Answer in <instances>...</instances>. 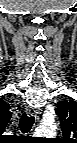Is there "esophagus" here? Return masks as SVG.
I'll list each match as a JSON object with an SVG mask.
<instances>
[{
  "label": "esophagus",
  "instance_id": "34e87169",
  "mask_svg": "<svg viewBox=\"0 0 77 143\" xmlns=\"http://www.w3.org/2000/svg\"><path fill=\"white\" fill-rule=\"evenodd\" d=\"M26 112L29 116H34V115H37L38 110L34 107H28L26 108Z\"/></svg>",
  "mask_w": 77,
  "mask_h": 143
}]
</instances>
